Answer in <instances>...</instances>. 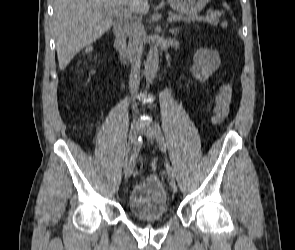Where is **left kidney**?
<instances>
[{
    "label": "left kidney",
    "mask_w": 295,
    "mask_h": 250,
    "mask_svg": "<svg viewBox=\"0 0 295 250\" xmlns=\"http://www.w3.org/2000/svg\"><path fill=\"white\" fill-rule=\"evenodd\" d=\"M220 57L216 51L199 49L193 57V66L190 69L199 81H206L219 67Z\"/></svg>",
    "instance_id": "5707ae66"
}]
</instances>
